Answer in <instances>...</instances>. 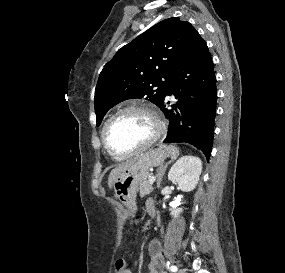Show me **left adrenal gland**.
Listing matches in <instances>:
<instances>
[{"label":"left adrenal gland","instance_id":"1","mask_svg":"<svg viewBox=\"0 0 285 273\" xmlns=\"http://www.w3.org/2000/svg\"><path fill=\"white\" fill-rule=\"evenodd\" d=\"M171 163V161L167 162L164 166H160L157 170V188H160V184L163 178V175L166 171L167 166Z\"/></svg>","mask_w":285,"mask_h":273}]
</instances>
